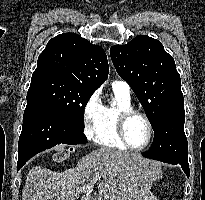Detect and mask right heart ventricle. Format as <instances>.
<instances>
[{"mask_svg":"<svg viewBox=\"0 0 205 200\" xmlns=\"http://www.w3.org/2000/svg\"><path fill=\"white\" fill-rule=\"evenodd\" d=\"M113 91L116 102L114 105L103 106L100 126L95 141L103 147L125 150L127 148L117 134L116 118L119 111L133 107L130 96H126L116 90Z\"/></svg>","mask_w":205,"mask_h":200,"instance_id":"e07e8e85","label":"right heart ventricle"}]
</instances>
